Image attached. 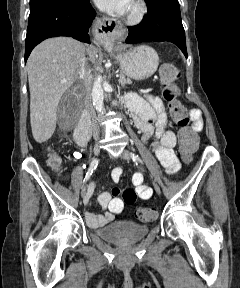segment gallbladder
Instances as JSON below:
<instances>
[{
    "mask_svg": "<svg viewBox=\"0 0 240 288\" xmlns=\"http://www.w3.org/2000/svg\"><path fill=\"white\" fill-rule=\"evenodd\" d=\"M71 111L70 106L67 103V100L63 98L58 106V115L61 117L63 114H68Z\"/></svg>",
    "mask_w": 240,
    "mask_h": 288,
    "instance_id": "1",
    "label": "gallbladder"
}]
</instances>
